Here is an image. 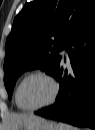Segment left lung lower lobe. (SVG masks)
<instances>
[{
    "mask_svg": "<svg viewBox=\"0 0 95 130\" xmlns=\"http://www.w3.org/2000/svg\"><path fill=\"white\" fill-rule=\"evenodd\" d=\"M70 65L63 60L53 74L60 90L55 103L37 115L78 127L95 128V13L85 18L65 47Z\"/></svg>",
    "mask_w": 95,
    "mask_h": 130,
    "instance_id": "0a47b994",
    "label": "left lung lower lobe"
}]
</instances>
